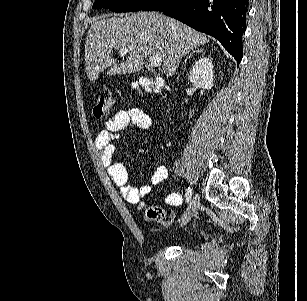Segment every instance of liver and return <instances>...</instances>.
I'll use <instances>...</instances> for the list:
<instances>
[{
    "instance_id": "obj_1",
    "label": "liver",
    "mask_w": 307,
    "mask_h": 301,
    "mask_svg": "<svg viewBox=\"0 0 307 301\" xmlns=\"http://www.w3.org/2000/svg\"><path fill=\"white\" fill-rule=\"evenodd\" d=\"M209 42L208 34L159 12H131L125 16L102 14L93 20L85 42V68L89 80L100 72L131 74L140 72L148 54H160L166 76L175 74L182 56ZM131 48L123 52V62L114 58L113 48Z\"/></svg>"
}]
</instances>
